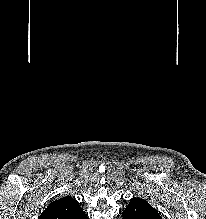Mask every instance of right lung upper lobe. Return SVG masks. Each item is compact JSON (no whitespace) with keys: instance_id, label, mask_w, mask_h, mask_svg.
<instances>
[{"instance_id":"1","label":"right lung upper lobe","mask_w":206,"mask_h":219,"mask_svg":"<svg viewBox=\"0 0 206 219\" xmlns=\"http://www.w3.org/2000/svg\"><path fill=\"white\" fill-rule=\"evenodd\" d=\"M77 200L66 196L51 202L41 213L39 219H86Z\"/></svg>"}]
</instances>
